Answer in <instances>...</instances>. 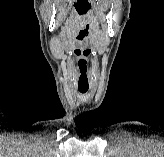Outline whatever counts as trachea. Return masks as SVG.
<instances>
[{"instance_id": "1", "label": "trachea", "mask_w": 164, "mask_h": 157, "mask_svg": "<svg viewBox=\"0 0 164 157\" xmlns=\"http://www.w3.org/2000/svg\"><path fill=\"white\" fill-rule=\"evenodd\" d=\"M79 91H80L81 93H86V92H87V89H79Z\"/></svg>"}]
</instances>
